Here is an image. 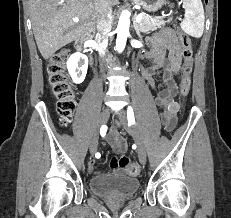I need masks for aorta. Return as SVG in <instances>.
Masks as SVG:
<instances>
[{"label": "aorta", "mask_w": 231, "mask_h": 218, "mask_svg": "<svg viewBox=\"0 0 231 218\" xmlns=\"http://www.w3.org/2000/svg\"><path fill=\"white\" fill-rule=\"evenodd\" d=\"M130 18L126 12H122L117 26L116 49L122 52L126 46L127 37L129 35Z\"/></svg>", "instance_id": "762f6f07"}]
</instances>
